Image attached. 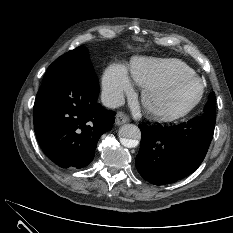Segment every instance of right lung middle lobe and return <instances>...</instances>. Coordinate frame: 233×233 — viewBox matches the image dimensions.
Segmentation results:
<instances>
[{
	"mask_svg": "<svg viewBox=\"0 0 233 233\" xmlns=\"http://www.w3.org/2000/svg\"><path fill=\"white\" fill-rule=\"evenodd\" d=\"M93 69L88 57V50L84 46L77 47L64 55L60 56L48 68L50 70L81 71Z\"/></svg>",
	"mask_w": 233,
	"mask_h": 233,
	"instance_id": "dd1d6c3e",
	"label": "right lung middle lobe"
}]
</instances>
